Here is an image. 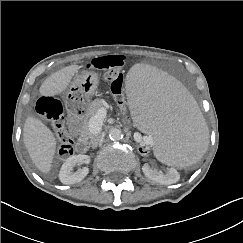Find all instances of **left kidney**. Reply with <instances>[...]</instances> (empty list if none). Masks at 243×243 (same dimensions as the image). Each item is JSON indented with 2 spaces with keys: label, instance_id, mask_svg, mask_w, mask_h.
I'll use <instances>...</instances> for the list:
<instances>
[{
  "label": "left kidney",
  "instance_id": "1",
  "mask_svg": "<svg viewBox=\"0 0 243 243\" xmlns=\"http://www.w3.org/2000/svg\"><path fill=\"white\" fill-rule=\"evenodd\" d=\"M142 171L144 175L155 182L162 185H171L179 181L180 175L178 171L171 167L167 173L157 170L156 168L150 167L148 164L142 166Z\"/></svg>",
  "mask_w": 243,
  "mask_h": 243
}]
</instances>
